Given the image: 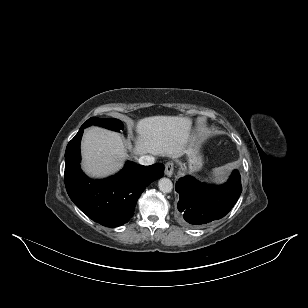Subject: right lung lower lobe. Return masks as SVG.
<instances>
[{
    "instance_id": "obj_1",
    "label": "right lung lower lobe",
    "mask_w": 308,
    "mask_h": 308,
    "mask_svg": "<svg viewBox=\"0 0 308 308\" xmlns=\"http://www.w3.org/2000/svg\"><path fill=\"white\" fill-rule=\"evenodd\" d=\"M81 126L65 152L64 180L69 197L93 221L107 227L125 224L133 216L136 202L147 185L164 174L161 163L142 166L127 162L115 176L92 180L80 169Z\"/></svg>"
}]
</instances>
